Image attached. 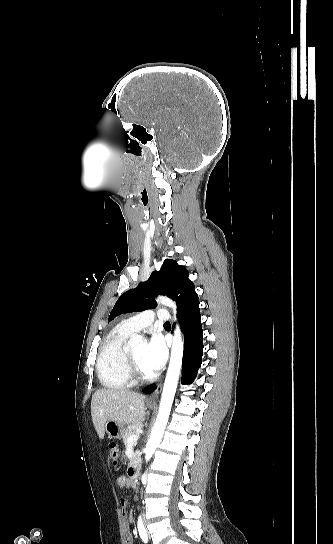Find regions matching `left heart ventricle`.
I'll return each instance as SVG.
<instances>
[{"mask_svg": "<svg viewBox=\"0 0 333 544\" xmlns=\"http://www.w3.org/2000/svg\"><path fill=\"white\" fill-rule=\"evenodd\" d=\"M141 371L145 374H150L151 372L145 367L144 363H143V355H144V351H145V347L144 346H140V347H136V348H132L131 349Z\"/></svg>", "mask_w": 333, "mask_h": 544, "instance_id": "b2bd125f", "label": "left heart ventricle"}]
</instances>
